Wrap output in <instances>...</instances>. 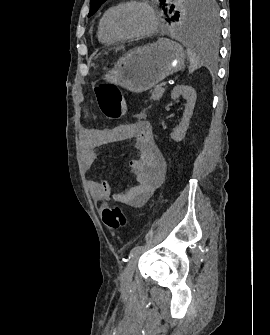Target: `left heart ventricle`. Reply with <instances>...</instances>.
<instances>
[{"label":"left heart ventricle","mask_w":270,"mask_h":335,"mask_svg":"<svg viewBox=\"0 0 270 335\" xmlns=\"http://www.w3.org/2000/svg\"><path fill=\"white\" fill-rule=\"evenodd\" d=\"M151 18L138 4L125 5L114 17L115 27L127 34L143 33L151 26ZM147 52H158L151 50Z\"/></svg>","instance_id":"left-heart-ventricle-1"}]
</instances>
